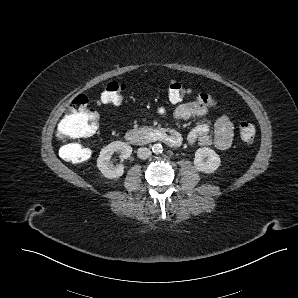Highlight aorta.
<instances>
[{
	"label": "aorta",
	"instance_id": "1",
	"mask_svg": "<svg viewBox=\"0 0 298 298\" xmlns=\"http://www.w3.org/2000/svg\"><path fill=\"white\" fill-rule=\"evenodd\" d=\"M152 151L155 154H160L163 151V147L160 143L154 144L153 147H152Z\"/></svg>",
	"mask_w": 298,
	"mask_h": 298
}]
</instances>
